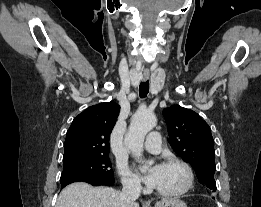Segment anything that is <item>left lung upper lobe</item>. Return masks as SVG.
<instances>
[{"instance_id": "1", "label": "left lung upper lobe", "mask_w": 261, "mask_h": 207, "mask_svg": "<svg viewBox=\"0 0 261 207\" xmlns=\"http://www.w3.org/2000/svg\"><path fill=\"white\" fill-rule=\"evenodd\" d=\"M168 142L195 170L203 186L216 190L213 137L209 125L194 111L173 105L163 110Z\"/></svg>"}]
</instances>
